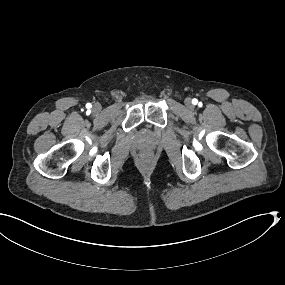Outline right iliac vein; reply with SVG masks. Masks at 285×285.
Masks as SVG:
<instances>
[{
  "label": "right iliac vein",
  "mask_w": 285,
  "mask_h": 285,
  "mask_svg": "<svg viewBox=\"0 0 285 285\" xmlns=\"http://www.w3.org/2000/svg\"><path fill=\"white\" fill-rule=\"evenodd\" d=\"M101 109H102V107H101V105H100L99 103H96V104L93 106V111H94L95 113L100 112Z\"/></svg>",
  "instance_id": "63e3f726"
}]
</instances>
